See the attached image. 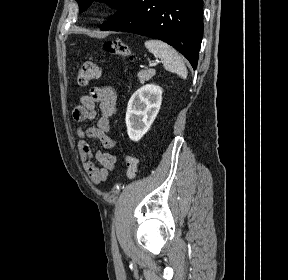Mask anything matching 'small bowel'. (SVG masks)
<instances>
[{
	"label": "small bowel",
	"mask_w": 288,
	"mask_h": 280,
	"mask_svg": "<svg viewBox=\"0 0 288 280\" xmlns=\"http://www.w3.org/2000/svg\"><path fill=\"white\" fill-rule=\"evenodd\" d=\"M96 104L100 107L101 116L96 126L78 129L80 137L78 150L85 172L93 183L98 184L108 179L117 162V156L107 151L116 146V140L109 135L111 119L117 113L115 91L109 86L91 88L88 94L80 98L79 104L73 110V118L76 122L94 120L97 116ZM89 138L98 139L106 151H93L88 141Z\"/></svg>",
	"instance_id": "small-bowel-1"
}]
</instances>
